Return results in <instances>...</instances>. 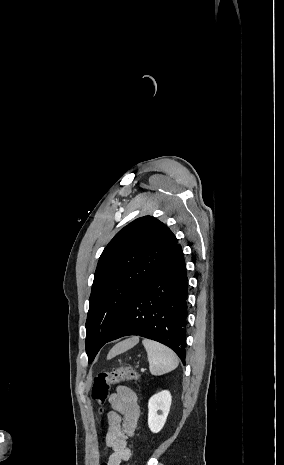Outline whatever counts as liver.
I'll use <instances>...</instances> for the list:
<instances>
[{
	"label": "liver",
	"instance_id": "1",
	"mask_svg": "<svg viewBox=\"0 0 284 465\" xmlns=\"http://www.w3.org/2000/svg\"><path fill=\"white\" fill-rule=\"evenodd\" d=\"M139 343V337H131V339H125V341H121V343H117L113 349H111L110 353L107 355V359H113L116 355H121V353H125L128 349H132Z\"/></svg>",
	"mask_w": 284,
	"mask_h": 465
}]
</instances>
